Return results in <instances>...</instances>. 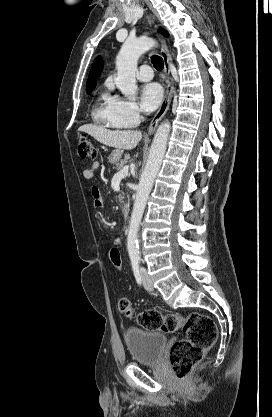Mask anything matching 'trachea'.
<instances>
[{
  "instance_id": "1",
  "label": "trachea",
  "mask_w": 272,
  "mask_h": 417,
  "mask_svg": "<svg viewBox=\"0 0 272 417\" xmlns=\"http://www.w3.org/2000/svg\"><path fill=\"white\" fill-rule=\"evenodd\" d=\"M151 60H152V63H153V66L157 69V70H162L163 69V67H164V62H163V59L160 57V56H158V55H153L152 57H151Z\"/></svg>"
}]
</instances>
